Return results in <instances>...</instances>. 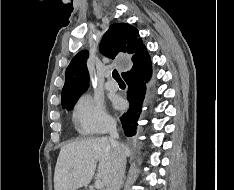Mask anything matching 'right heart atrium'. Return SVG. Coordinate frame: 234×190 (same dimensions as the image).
<instances>
[{"label": "right heart atrium", "mask_w": 234, "mask_h": 190, "mask_svg": "<svg viewBox=\"0 0 234 190\" xmlns=\"http://www.w3.org/2000/svg\"><path fill=\"white\" fill-rule=\"evenodd\" d=\"M72 119L76 129L88 135L103 134L113 127V120L106 113L102 101L89 94L78 98Z\"/></svg>", "instance_id": "1"}]
</instances>
